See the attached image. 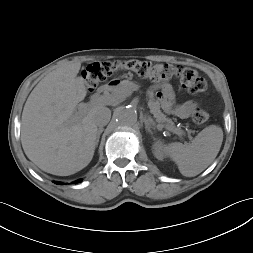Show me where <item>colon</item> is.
<instances>
[{
  "label": "colon",
  "mask_w": 253,
  "mask_h": 253,
  "mask_svg": "<svg viewBox=\"0 0 253 253\" xmlns=\"http://www.w3.org/2000/svg\"><path fill=\"white\" fill-rule=\"evenodd\" d=\"M119 70H129L141 78L155 81L178 79L190 94H199L207 89L205 78L191 68L136 59L95 62L84 69L83 76L87 85L94 88ZM207 120L208 113L203 108L197 107L192 114V121L196 125H202Z\"/></svg>",
  "instance_id": "1"
}]
</instances>
